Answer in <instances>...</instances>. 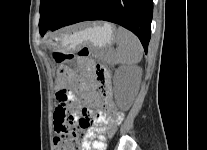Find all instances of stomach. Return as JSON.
<instances>
[{
  "label": "stomach",
  "mask_w": 207,
  "mask_h": 150,
  "mask_svg": "<svg viewBox=\"0 0 207 150\" xmlns=\"http://www.w3.org/2000/svg\"><path fill=\"white\" fill-rule=\"evenodd\" d=\"M114 25L97 21L91 24L68 28L48 38L52 50L63 53L75 52L83 45L94 50H101L112 44L114 40Z\"/></svg>",
  "instance_id": "stomach-1"
}]
</instances>
